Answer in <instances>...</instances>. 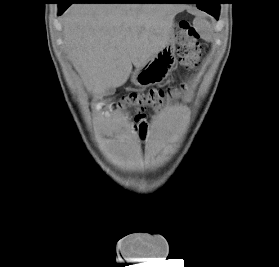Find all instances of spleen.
<instances>
[{
  "label": "spleen",
  "instance_id": "obj_1",
  "mask_svg": "<svg viewBox=\"0 0 279 267\" xmlns=\"http://www.w3.org/2000/svg\"><path fill=\"white\" fill-rule=\"evenodd\" d=\"M197 25L199 26L200 31L204 34V35H209L210 34V23L206 20H202L199 19L197 21Z\"/></svg>",
  "mask_w": 279,
  "mask_h": 267
}]
</instances>
